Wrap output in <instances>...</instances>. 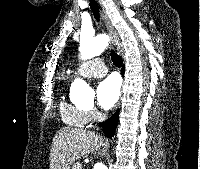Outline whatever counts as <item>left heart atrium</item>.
Masks as SVG:
<instances>
[{"instance_id": "obj_1", "label": "left heart atrium", "mask_w": 200, "mask_h": 169, "mask_svg": "<svg viewBox=\"0 0 200 169\" xmlns=\"http://www.w3.org/2000/svg\"><path fill=\"white\" fill-rule=\"evenodd\" d=\"M121 83L117 76H109L97 87V101L103 109L112 108L119 99Z\"/></svg>"}]
</instances>
